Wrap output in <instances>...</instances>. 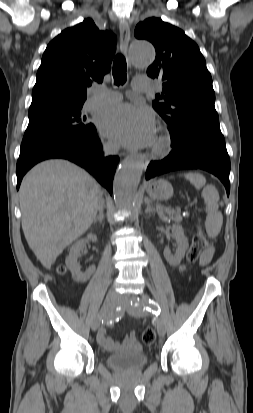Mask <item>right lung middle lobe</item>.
<instances>
[{"instance_id": "right-lung-middle-lobe-1", "label": "right lung middle lobe", "mask_w": 253, "mask_h": 413, "mask_svg": "<svg viewBox=\"0 0 253 413\" xmlns=\"http://www.w3.org/2000/svg\"><path fill=\"white\" fill-rule=\"evenodd\" d=\"M83 105L56 107L29 112V124L25 131L21 148L51 139L84 135L94 125L81 115Z\"/></svg>"}]
</instances>
